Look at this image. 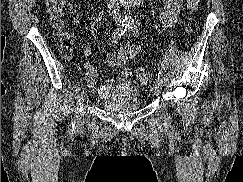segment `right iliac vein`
<instances>
[{
	"instance_id": "1",
	"label": "right iliac vein",
	"mask_w": 243,
	"mask_h": 182,
	"mask_svg": "<svg viewBox=\"0 0 243 182\" xmlns=\"http://www.w3.org/2000/svg\"><path fill=\"white\" fill-rule=\"evenodd\" d=\"M85 91L84 89L81 90L80 95H79V99H78V105H77V110H76V125L79 127L82 125L83 122V118H82V107L85 101Z\"/></svg>"
}]
</instances>
